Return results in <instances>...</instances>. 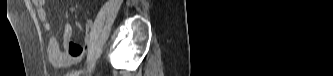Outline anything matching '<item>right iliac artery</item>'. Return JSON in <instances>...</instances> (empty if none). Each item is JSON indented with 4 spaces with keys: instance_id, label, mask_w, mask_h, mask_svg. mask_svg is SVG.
<instances>
[{
    "instance_id": "1",
    "label": "right iliac artery",
    "mask_w": 333,
    "mask_h": 76,
    "mask_svg": "<svg viewBox=\"0 0 333 76\" xmlns=\"http://www.w3.org/2000/svg\"><path fill=\"white\" fill-rule=\"evenodd\" d=\"M81 72H82V70H76V71L72 72L70 76H79V74Z\"/></svg>"
}]
</instances>
